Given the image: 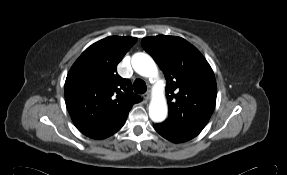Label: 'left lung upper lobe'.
Listing matches in <instances>:
<instances>
[{
	"label": "left lung upper lobe",
	"instance_id": "1",
	"mask_svg": "<svg viewBox=\"0 0 287 175\" xmlns=\"http://www.w3.org/2000/svg\"><path fill=\"white\" fill-rule=\"evenodd\" d=\"M141 44L166 78L169 116L163 124L194 138L215 108L217 86L212 68L192 44L180 37H146Z\"/></svg>",
	"mask_w": 287,
	"mask_h": 175
}]
</instances>
